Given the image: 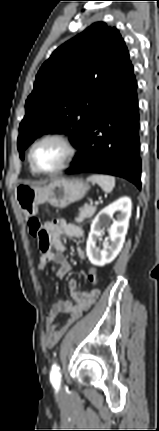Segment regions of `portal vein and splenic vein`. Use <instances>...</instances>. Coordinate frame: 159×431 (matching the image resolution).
Listing matches in <instances>:
<instances>
[{"label": "portal vein and splenic vein", "instance_id": "1", "mask_svg": "<svg viewBox=\"0 0 159 431\" xmlns=\"http://www.w3.org/2000/svg\"><path fill=\"white\" fill-rule=\"evenodd\" d=\"M95 204H96V205H98V204H99V202H95Z\"/></svg>", "mask_w": 159, "mask_h": 431}]
</instances>
